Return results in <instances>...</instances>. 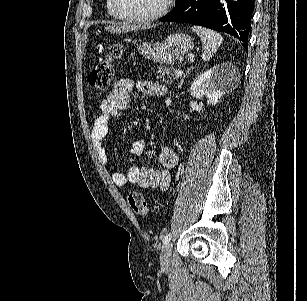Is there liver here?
I'll return each mask as SVG.
<instances>
[{
    "mask_svg": "<svg viewBox=\"0 0 307 301\" xmlns=\"http://www.w3.org/2000/svg\"><path fill=\"white\" fill-rule=\"evenodd\" d=\"M138 28H145V26H143V24H127V22H116L115 20V22H110V24H107L104 30L121 34V32H131V30H138Z\"/></svg>",
    "mask_w": 307,
    "mask_h": 301,
    "instance_id": "6515ba94",
    "label": "liver"
}]
</instances>
